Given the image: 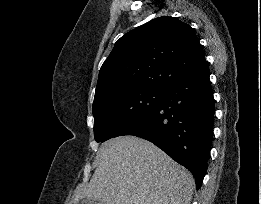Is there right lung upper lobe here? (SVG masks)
Returning a JSON list of instances; mask_svg holds the SVG:
<instances>
[{
  "mask_svg": "<svg viewBox=\"0 0 261 204\" xmlns=\"http://www.w3.org/2000/svg\"><path fill=\"white\" fill-rule=\"evenodd\" d=\"M193 29L174 17H159L126 33L103 63L94 102L115 91H164L205 62Z\"/></svg>",
  "mask_w": 261,
  "mask_h": 204,
  "instance_id": "1",
  "label": "right lung upper lobe"
}]
</instances>
